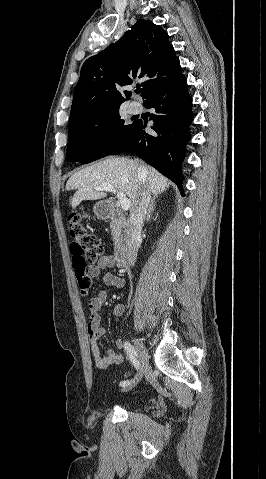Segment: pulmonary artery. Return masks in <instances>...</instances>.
<instances>
[{"instance_id":"1","label":"pulmonary artery","mask_w":266,"mask_h":479,"mask_svg":"<svg viewBox=\"0 0 266 479\" xmlns=\"http://www.w3.org/2000/svg\"><path fill=\"white\" fill-rule=\"evenodd\" d=\"M129 109L132 113H139L142 109V106L139 102L137 101H132L129 104Z\"/></svg>"}]
</instances>
